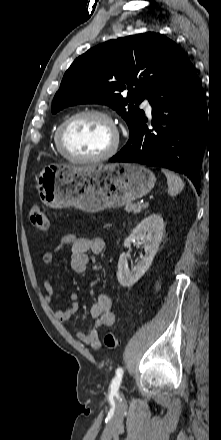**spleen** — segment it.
Instances as JSON below:
<instances>
[{"mask_svg": "<svg viewBox=\"0 0 221 440\" xmlns=\"http://www.w3.org/2000/svg\"><path fill=\"white\" fill-rule=\"evenodd\" d=\"M162 172L165 174L167 178L169 195L176 196L177 194H179L184 188V182L179 177V175L167 169H162Z\"/></svg>", "mask_w": 221, "mask_h": 440, "instance_id": "3e777b00", "label": "spleen"}]
</instances>
